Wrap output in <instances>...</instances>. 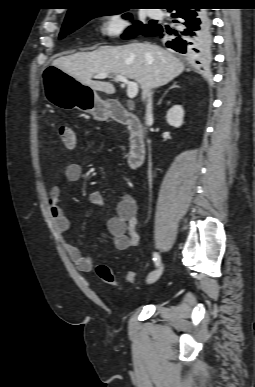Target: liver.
<instances>
[{
  "label": "liver",
  "mask_w": 255,
  "mask_h": 387,
  "mask_svg": "<svg viewBox=\"0 0 255 387\" xmlns=\"http://www.w3.org/2000/svg\"><path fill=\"white\" fill-rule=\"evenodd\" d=\"M53 66L81 84L106 94L115 93L113 84L92 80L95 75L125 76L140 85L143 98L152 88L166 85L185 69L184 64L171 53L150 43L101 46L92 52L61 56L53 61Z\"/></svg>",
  "instance_id": "obj_1"
}]
</instances>
